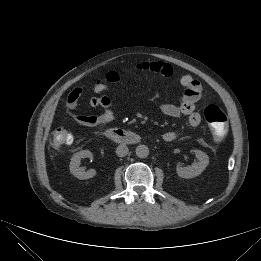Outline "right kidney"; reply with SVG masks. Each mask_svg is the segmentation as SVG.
I'll return each mask as SVG.
<instances>
[{
    "label": "right kidney",
    "instance_id": "ca27d5eb",
    "mask_svg": "<svg viewBox=\"0 0 261 261\" xmlns=\"http://www.w3.org/2000/svg\"><path fill=\"white\" fill-rule=\"evenodd\" d=\"M91 157L92 153L89 150H82L73 154L69 165L70 172L80 180L94 177L96 175V171L94 169L85 171L82 167H80V161L82 158Z\"/></svg>",
    "mask_w": 261,
    "mask_h": 261
}]
</instances>
